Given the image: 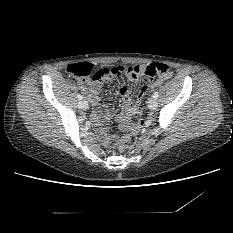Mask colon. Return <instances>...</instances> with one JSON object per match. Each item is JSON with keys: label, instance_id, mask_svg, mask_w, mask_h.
Wrapping results in <instances>:
<instances>
[{"label": "colon", "instance_id": "obj_1", "mask_svg": "<svg viewBox=\"0 0 233 233\" xmlns=\"http://www.w3.org/2000/svg\"><path fill=\"white\" fill-rule=\"evenodd\" d=\"M169 66L163 63H152L146 67L140 65H123L117 64L111 67L95 68L90 62L83 61L70 64L66 67V72L70 75L77 76L83 80H87L90 76L93 79L104 78L108 75H116L119 73H125L133 78L144 77L148 80H152L156 77H168ZM125 110L127 114L133 117H139L141 109L138 105L126 104ZM141 125L139 120L137 127ZM135 135L130 131L119 138L112 139V145L119 152H124L131 149L135 144Z\"/></svg>", "mask_w": 233, "mask_h": 233}]
</instances>
